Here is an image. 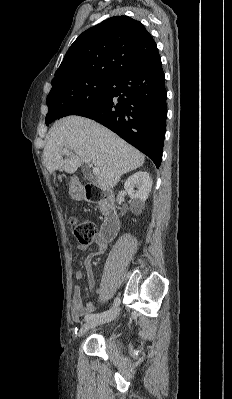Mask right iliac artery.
I'll return each mask as SVG.
<instances>
[{
    "label": "right iliac artery",
    "instance_id": "right-iliac-artery-1",
    "mask_svg": "<svg viewBox=\"0 0 232 399\" xmlns=\"http://www.w3.org/2000/svg\"><path fill=\"white\" fill-rule=\"evenodd\" d=\"M119 304H120V298H119V297H116L113 308L110 309V310L104 311V312L101 313L100 315H97V317H106V316H109V315L113 312V310H114ZM94 318H95V315H93V314H87V315L85 316L84 320H85V321H90V320H92V319H94Z\"/></svg>",
    "mask_w": 232,
    "mask_h": 399
}]
</instances>
